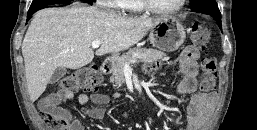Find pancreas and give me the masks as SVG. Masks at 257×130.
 Listing matches in <instances>:
<instances>
[{
  "instance_id": "cf45deb5",
  "label": "pancreas",
  "mask_w": 257,
  "mask_h": 130,
  "mask_svg": "<svg viewBox=\"0 0 257 130\" xmlns=\"http://www.w3.org/2000/svg\"><path fill=\"white\" fill-rule=\"evenodd\" d=\"M165 53L155 49H147L136 47L130 49L126 54L115 60V64L112 67V76L110 77V82L116 85H121L124 83V65L131 63V61L136 60L143 62L145 64H153L159 59L163 58Z\"/></svg>"
}]
</instances>
